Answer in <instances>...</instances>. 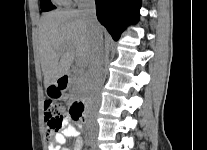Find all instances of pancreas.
<instances>
[{
  "label": "pancreas",
  "mask_w": 207,
  "mask_h": 150,
  "mask_svg": "<svg viewBox=\"0 0 207 150\" xmlns=\"http://www.w3.org/2000/svg\"><path fill=\"white\" fill-rule=\"evenodd\" d=\"M78 75L77 77H74L71 81L72 84V90L71 93H79L84 90H86L89 86L90 82V76L88 71L85 69H81L76 72Z\"/></svg>",
  "instance_id": "1"
}]
</instances>
